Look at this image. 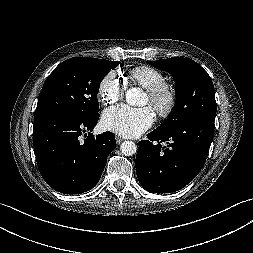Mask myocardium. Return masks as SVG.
<instances>
[{"label": "myocardium", "instance_id": "myocardium-1", "mask_svg": "<svg viewBox=\"0 0 253 253\" xmlns=\"http://www.w3.org/2000/svg\"><path fill=\"white\" fill-rule=\"evenodd\" d=\"M150 105L162 118L169 117L177 104V94L173 87L166 83H159L147 89Z\"/></svg>", "mask_w": 253, "mask_h": 253}]
</instances>
